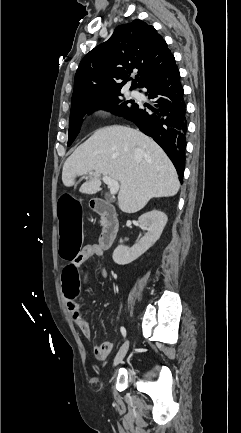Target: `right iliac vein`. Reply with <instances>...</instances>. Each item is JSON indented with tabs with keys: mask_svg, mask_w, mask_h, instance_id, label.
Listing matches in <instances>:
<instances>
[{
	"mask_svg": "<svg viewBox=\"0 0 241 433\" xmlns=\"http://www.w3.org/2000/svg\"><path fill=\"white\" fill-rule=\"evenodd\" d=\"M129 349V340H126L125 343L122 345V347L120 348V350L118 351L115 359H114V363L113 365L116 366L119 363L122 362V360L124 359L127 351Z\"/></svg>",
	"mask_w": 241,
	"mask_h": 433,
	"instance_id": "63e3f726",
	"label": "right iliac vein"
}]
</instances>
